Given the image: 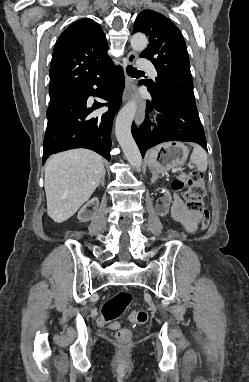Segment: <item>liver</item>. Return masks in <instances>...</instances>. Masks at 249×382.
Wrapping results in <instances>:
<instances>
[{
	"label": "liver",
	"instance_id": "1",
	"mask_svg": "<svg viewBox=\"0 0 249 382\" xmlns=\"http://www.w3.org/2000/svg\"><path fill=\"white\" fill-rule=\"evenodd\" d=\"M100 155L73 149L51 156L45 165L47 213L56 223L72 217L91 197L104 173Z\"/></svg>",
	"mask_w": 249,
	"mask_h": 382
}]
</instances>
